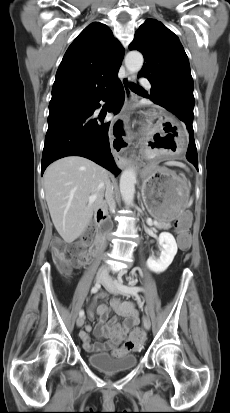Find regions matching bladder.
Wrapping results in <instances>:
<instances>
[{
  "label": "bladder",
  "instance_id": "obj_1",
  "mask_svg": "<svg viewBox=\"0 0 230 413\" xmlns=\"http://www.w3.org/2000/svg\"><path fill=\"white\" fill-rule=\"evenodd\" d=\"M87 359L96 369L110 374L128 371L138 363L137 356L133 354L113 356L108 353H93Z\"/></svg>",
  "mask_w": 230,
  "mask_h": 413
}]
</instances>
